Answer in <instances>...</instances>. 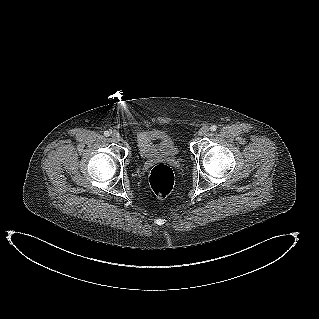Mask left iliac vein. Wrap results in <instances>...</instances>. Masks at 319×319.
Wrapping results in <instances>:
<instances>
[{
  "instance_id": "left-iliac-vein-1",
  "label": "left iliac vein",
  "mask_w": 319,
  "mask_h": 319,
  "mask_svg": "<svg viewBox=\"0 0 319 319\" xmlns=\"http://www.w3.org/2000/svg\"><path fill=\"white\" fill-rule=\"evenodd\" d=\"M208 132H209V128L207 126H203L198 133L200 136H205L208 134Z\"/></svg>"
}]
</instances>
